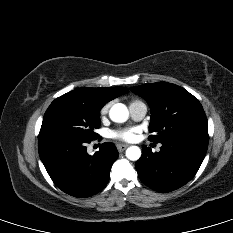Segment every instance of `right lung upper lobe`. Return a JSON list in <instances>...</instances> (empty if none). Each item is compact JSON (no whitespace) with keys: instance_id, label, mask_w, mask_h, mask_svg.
I'll list each match as a JSON object with an SVG mask.
<instances>
[{"instance_id":"cb5924a9","label":"right lung upper lobe","mask_w":233,"mask_h":233,"mask_svg":"<svg viewBox=\"0 0 233 233\" xmlns=\"http://www.w3.org/2000/svg\"><path fill=\"white\" fill-rule=\"evenodd\" d=\"M129 90L124 87H103V88H78L71 92L70 94L76 96L77 98L84 100L85 102L98 106L102 108L104 104L113 100L114 98L128 93Z\"/></svg>"}]
</instances>
